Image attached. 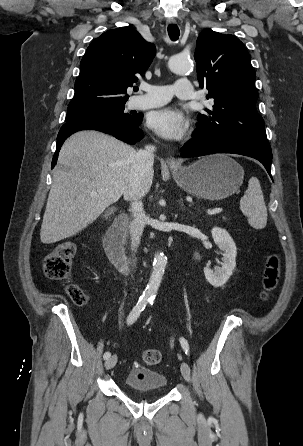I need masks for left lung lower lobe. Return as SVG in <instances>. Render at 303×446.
<instances>
[{
  "instance_id": "0a47b994",
  "label": "left lung lower lobe",
  "mask_w": 303,
  "mask_h": 446,
  "mask_svg": "<svg viewBox=\"0 0 303 446\" xmlns=\"http://www.w3.org/2000/svg\"><path fill=\"white\" fill-rule=\"evenodd\" d=\"M193 137L181 148L182 157H198L215 153L240 154L260 161L271 176L272 152L268 142L239 139L230 135L211 136L197 130L193 133Z\"/></svg>"
}]
</instances>
